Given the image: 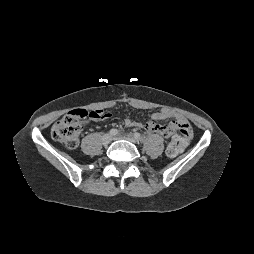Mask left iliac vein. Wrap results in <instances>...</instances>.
Instances as JSON below:
<instances>
[{
  "label": "left iliac vein",
  "mask_w": 254,
  "mask_h": 254,
  "mask_svg": "<svg viewBox=\"0 0 254 254\" xmlns=\"http://www.w3.org/2000/svg\"><path fill=\"white\" fill-rule=\"evenodd\" d=\"M115 138H116V139H117V138H124V139L130 141L131 143H136V139H135V137H134L132 134H127V135H125V136H120V135H118V136H116Z\"/></svg>",
  "instance_id": "obj_1"
}]
</instances>
